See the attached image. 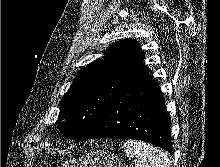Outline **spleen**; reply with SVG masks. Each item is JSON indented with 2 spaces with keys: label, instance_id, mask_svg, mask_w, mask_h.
<instances>
[{
  "label": "spleen",
  "instance_id": "1",
  "mask_svg": "<svg viewBox=\"0 0 220 167\" xmlns=\"http://www.w3.org/2000/svg\"><path fill=\"white\" fill-rule=\"evenodd\" d=\"M126 156L135 162V167H171L165 152L137 140H127L124 145Z\"/></svg>",
  "mask_w": 220,
  "mask_h": 167
}]
</instances>
